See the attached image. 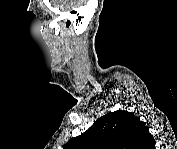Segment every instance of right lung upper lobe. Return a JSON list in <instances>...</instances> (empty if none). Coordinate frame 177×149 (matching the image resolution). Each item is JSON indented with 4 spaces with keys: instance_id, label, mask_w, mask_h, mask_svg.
<instances>
[{
    "instance_id": "obj_1",
    "label": "right lung upper lobe",
    "mask_w": 177,
    "mask_h": 149,
    "mask_svg": "<svg viewBox=\"0 0 177 149\" xmlns=\"http://www.w3.org/2000/svg\"><path fill=\"white\" fill-rule=\"evenodd\" d=\"M144 122L128 111L110 112L98 118L83 134L68 141L64 149H152ZM154 148V147H153Z\"/></svg>"
}]
</instances>
